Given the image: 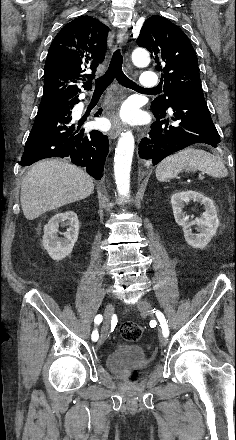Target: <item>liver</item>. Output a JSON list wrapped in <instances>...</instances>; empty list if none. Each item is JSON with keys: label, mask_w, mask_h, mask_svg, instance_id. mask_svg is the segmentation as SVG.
<instances>
[{"label": "liver", "mask_w": 236, "mask_h": 440, "mask_svg": "<svg viewBox=\"0 0 236 440\" xmlns=\"http://www.w3.org/2000/svg\"><path fill=\"white\" fill-rule=\"evenodd\" d=\"M93 191V180L83 170L62 161L44 160L25 175L20 202L25 218L34 220L48 211L85 199Z\"/></svg>", "instance_id": "obj_1"}]
</instances>
